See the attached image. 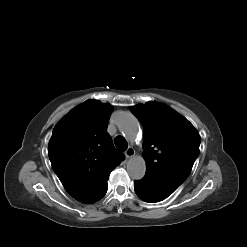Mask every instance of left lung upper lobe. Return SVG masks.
I'll return each instance as SVG.
<instances>
[{"label":"left lung upper lobe","instance_id":"obj_1","mask_svg":"<svg viewBox=\"0 0 247 247\" xmlns=\"http://www.w3.org/2000/svg\"><path fill=\"white\" fill-rule=\"evenodd\" d=\"M143 126L145 177L172 194L189 176L199 155L201 138L193 125L158 102L130 107Z\"/></svg>","mask_w":247,"mask_h":247}]
</instances>
